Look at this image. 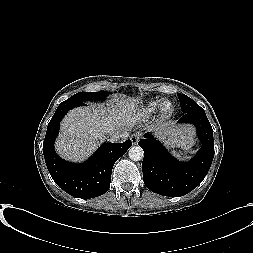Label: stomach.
<instances>
[{
	"instance_id": "stomach-1",
	"label": "stomach",
	"mask_w": 253,
	"mask_h": 253,
	"mask_svg": "<svg viewBox=\"0 0 253 253\" xmlns=\"http://www.w3.org/2000/svg\"><path fill=\"white\" fill-rule=\"evenodd\" d=\"M169 146H175L172 142H167Z\"/></svg>"
}]
</instances>
